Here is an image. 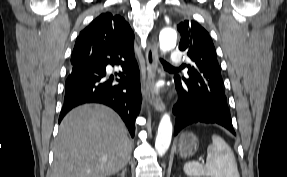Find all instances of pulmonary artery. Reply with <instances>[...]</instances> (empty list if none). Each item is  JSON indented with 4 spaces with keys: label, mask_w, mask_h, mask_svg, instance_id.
Instances as JSON below:
<instances>
[{
    "label": "pulmonary artery",
    "mask_w": 287,
    "mask_h": 177,
    "mask_svg": "<svg viewBox=\"0 0 287 177\" xmlns=\"http://www.w3.org/2000/svg\"><path fill=\"white\" fill-rule=\"evenodd\" d=\"M169 64L171 67H177L181 64V51L179 49L173 50Z\"/></svg>",
    "instance_id": "obj_1"
}]
</instances>
